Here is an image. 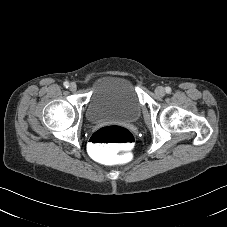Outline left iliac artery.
Listing matches in <instances>:
<instances>
[{
    "instance_id": "44dca946",
    "label": "left iliac artery",
    "mask_w": 227,
    "mask_h": 227,
    "mask_svg": "<svg viewBox=\"0 0 227 227\" xmlns=\"http://www.w3.org/2000/svg\"><path fill=\"white\" fill-rule=\"evenodd\" d=\"M165 92L168 93V94L171 93V88L170 87H166L165 88Z\"/></svg>"
}]
</instances>
